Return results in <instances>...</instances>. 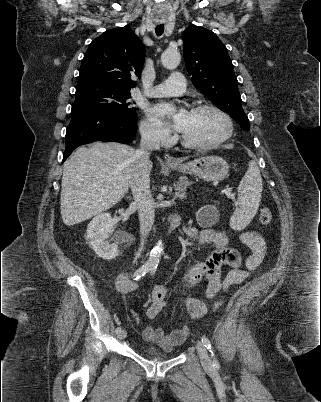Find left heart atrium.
Returning a JSON list of instances; mask_svg holds the SVG:
<instances>
[{"label":"left heart atrium","mask_w":321,"mask_h":402,"mask_svg":"<svg viewBox=\"0 0 321 402\" xmlns=\"http://www.w3.org/2000/svg\"><path fill=\"white\" fill-rule=\"evenodd\" d=\"M152 121L157 124H170L177 131H182L188 119L189 112L175 107L172 103H158L148 110Z\"/></svg>","instance_id":"obj_1"}]
</instances>
